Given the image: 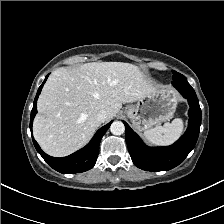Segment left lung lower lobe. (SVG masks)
Wrapping results in <instances>:
<instances>
[{"mask_svg": "<svg viewBox=\"0 0 224 224\" xmlns=\"http://www.w3.org/2000/svg\"><path fill=\"white\" fill-rule=\"evenodd\" d=\"M172 84L184 98L188 99L190 105L188 128L177 142L167 147H147L123 121L125 124V139L132 161L138 168L146 171H167L176 167L187 157L198 139L201 109L196 93L183 75L173 80Z\"/></svg>", "mask_w": 224, "mask_h": 224, "instance_id": "left-lung-lower-lobe-1", "label": "left lung lower lobe"}]
</instances>
